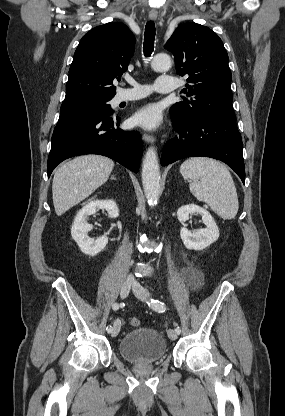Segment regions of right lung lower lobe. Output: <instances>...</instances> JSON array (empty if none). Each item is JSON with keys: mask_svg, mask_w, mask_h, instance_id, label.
<instances>
[{"mask_svg": "<svg viewBox=\"0 0 285 416\" xmlns=\"http://www.w3.org/2000/svg\"><path fill=\"white\" fill-rule=\"evenodd\" d=\"M110 115L86 114L59 118L52 135L48 178L63 160L83 154L104 155L138 172L143 150L140 135L135 131L120 129V118Z\"/></svg>", "mask_w": 285, "mask_h": 416, "instance_id": "right-lung-lower-lobe-1", "label": "right lung lower lobe"}]
</instances>
